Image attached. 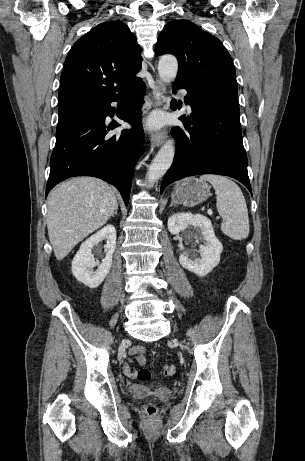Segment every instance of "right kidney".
<instances>
[{
  "label": "right kidney",
  "mask_w": 305,
  "mask_h": 461,
  "mask_svg": "<svg viewBox=\"0 0 305 461\" xmlns=\"http://www.w3.org/2000/svg\"><path fill=\"white\" fill-rule=\"evenodd\" d=\"M103 239H106V245L104 246L106 256L99 264L95 262L92 249L94 245H97ZM115 248L116 229L113 225L109 224L81 244L79 251L72 261V273L74 277L90 288L98 287L110 271ZM96 266L97 270L94 271L93 269Z\"/></svg>",
  "instance_id": "ca27d5eb"
}]
</instances>
